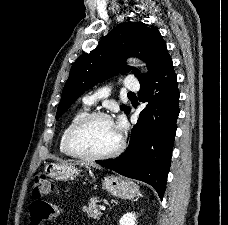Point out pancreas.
I'll use <instances>...</instances> for the list:
<instances>
[{
    "label": "pancreas",
    "instance_id": "1",
    "mask_svg": "<svg viewBox=\"0 0 228 225\" xmlns=\"http://www.w3.org/2000/svg\"><path fill=\"white\" fill-rule=\"evenodd\" d=\"M97 203L96 197H93V199H90L88 207H82L84 213H87L88 217H92V219H99V217H101V213L99 209H97Z\"/></svg>",
    "mask_w": 228,
    "mask_h": 225
}]
</instances>
